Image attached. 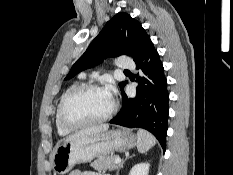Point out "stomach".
Here are the masks:
<instances>
[{
    "label": "stomach",
    "instance_id": "stomach-1",
    "mask_svg": "<svg viewBox=\"0 0 233 175\" xmlns=\"http://www.w3.org/2000/svg\"><path fill=\"white\" fill-rule=\"evenodd\" d=\"M137 144L136 136L126 129L106 130L58 144L53 152L52 168L65 175L75 164L90 162L95 157L124 152Z\"/></svg>",
    "mask_w": 233,
    "mask_h": 175
}]
</instances>
